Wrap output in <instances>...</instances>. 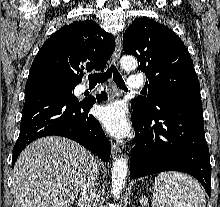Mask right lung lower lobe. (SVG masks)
<instances>
[{
    "instance_id": "right-lung-lower-lobe-1",
    "label": "right lung lower lobe",
    "mask_w": 220,
    "mask_h": 207,
    "mask_svg": "<svg viewBox=\"0 0 220 207\" xmlns=\"http://www.w3.org/2000/svg\"><path fill=\"white\" fill-rule=\"evenodd\" d=\"M106 94L97 95V100ZM95 98L79 101L61 81L35 78L26 82V98L22 111L20 134L13 148L12 166L26 145L48 136L73 139L96 153L103 161L110 159V142L100 123L89 114Z\"/></svg>"
}]
</instances>
